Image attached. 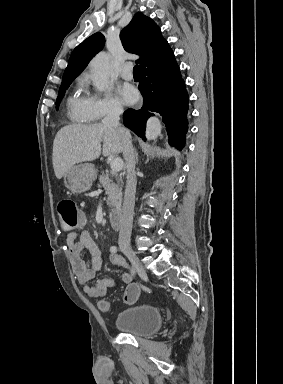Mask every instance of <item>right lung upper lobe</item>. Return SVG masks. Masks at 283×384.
Instances as JSON below:
<instances>
[{"label": "right lung upper lobe", "mask_w": 283, "mask_h": 384, "mask_svg": "<svg viewBox=\"0 0 283 384\" xmlns=\"http://www.w3.org/2000/svg\"><path fill=\"white\" fill-rule=\"evenodd\" d=\"M120 38L126 51L140 56L136 62L140 64L141 76L164 70L175 62L173 51L162 37L160 28L140 12L136 13L129 25L121 31ZM104 44L105 37L100 32L79 44L70 56L62 84L72 82Z\"/></svg>", "instance_id": "obj_1"}]
</instances>
